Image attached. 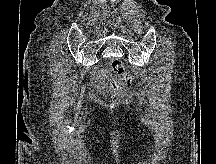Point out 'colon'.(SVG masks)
<instances>
[{
	"label": "colon",
	"mask_w": 216,
	"mask_h": 164,
	"mask_svg": "<svg viewBox=\"0 0 216 164\" xmlns=\"http://www.w3.org/2000/svg\"><path fill=\"white\" fill-rule=\"evenodd\" d=\"M111 65L116 77L111 78L110 88L115 94L121 95L130 86L132 77L120 59H113Z\"/></svg>",
	"instance_id": "colon-1"
}]
</instances>
